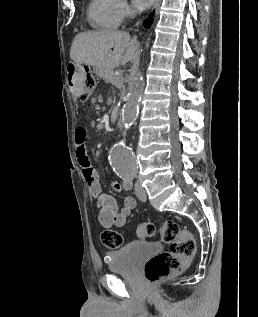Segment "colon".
<instances>
[{"instance_id": "colon-1", "label": "colon", "mask_w": 258, "mask_h": 317, "mask_svg": "<svg viewBox=\"0 0 258 317\" xmlns=\"http://www.w3.org/2000/svg\"><path fill=\"white\" fill-rule=\"evenodd\" d=\"M96 87L91 71H82L81 96L87 98ZM159 233L161 240L169 245V250L151 257L145 264V278L149 284H155L167 276L182 271L196 253V241L191 233L182 229L173 220L163 222L159 227L146 222L137 227V235L150 239ZM102 244L110 249L122 246V235L114 230H105L101 234Z\"/></svg>"}]
</instances>
